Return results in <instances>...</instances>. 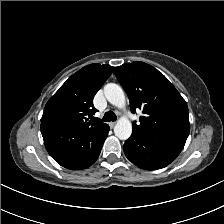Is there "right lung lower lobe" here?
Segmentation results:
<instances>
[{"instance_id": "98d812e1", "label": "right lung lower lobe", "mask_w": 224, "mask_h": 224, "mask_svg": "<svg viewBox=\"0 0 224 224\" xmlns=\"http://www.w3.org/2000/svg\"><path fill=\"white\" fill-rule=\"evenodd\" d=\"M109 129L107 124L80 129L55 121L41 122V133L49 154L61 166L71 170L87 168L97 160Z\"/></svg>"}]
</instances>
